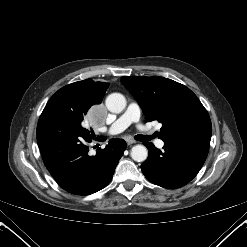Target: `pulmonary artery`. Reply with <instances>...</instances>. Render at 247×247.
I'll list each match as a JSON object with an SVG mask.
<instances>
[{
	"label": "pulmonary artery",
	"mask_w": 247,
	"mask_h": 247,
	"mask_svg": "<svg viewBox=\"0 0 247 247\" xmlns=\"http://www.w3.org/2000/svg\"><path fill=\"white\" fill-rule=\"evenodd\" d=\"M140 107L136 102H131L125 112L115 120L108 129V134L116 135L123 132L131 124L137 123L139 127H143L139 124L140 121ZM155 144L158 148L164 146V142L160 139L155 141Z\"/></svg>",
	"instance_id": "1"
}]
</instances>
